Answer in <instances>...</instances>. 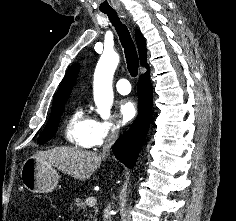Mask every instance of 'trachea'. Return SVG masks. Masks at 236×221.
Masks as SVG:
<instances>
[{
  "label": "trachea",
  "mask_w": 236,
  "mask_h": 221,
  "mask_svg": "<svg viewBox=\"0 0 236 221\" xmlns=\"http://www.w3.org/2000/svg\"><path fill=\"white\" fill-rule=\"evenodd\" d=\"M104 13L109 17L111 23L115 26V29L120 37V41L125 52L128 71L132 77H136L138 74L139 59L130 32L127 29L126 25L120 22V19L115 11Z\"/></svg>",
  "instance_id": "obj_1"
}]
</instances>
